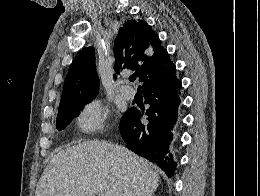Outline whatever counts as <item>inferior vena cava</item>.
<instances>
[{
    "label": "inferior vena cava",
    "instance_id": "inferior-vena-cava-1",
    "mask_svg": "<svg viewBox=\"0 0 260 196\" xmlns=\"http://www.w3.org/2000/svg\"><path fill=\"white\" fill-rule=\"evenodd\" d=\"M124 196H134L133 190H125Z\"/></svg>",
    "mask_w": 260,
    "mask_h": 196
}]
</instances>
